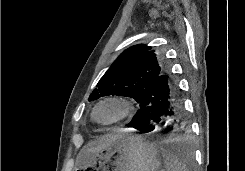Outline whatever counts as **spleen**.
I'll list each match as a JSON object with an SVG mask.
<instances>
[{
  "mask_svg": "<svg viewBox=\"0 0 245 171\" xmlns=\"http://www.w3.org/2000/svg\"><path fill=\"white\" fill-rule=\"evenodd\" d=\"M161 153L164 158V166L166 171H189L187 166L170 151L162 149Z\"/></svg>",
  "mask_w": 245,
  "mask_h": 171,
  "instance_id": "1",
  "label": "spleen"
}]
</instances>
